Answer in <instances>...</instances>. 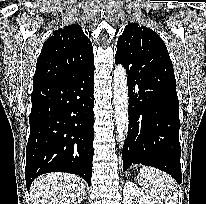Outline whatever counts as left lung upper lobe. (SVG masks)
<instances>
[{"label":"left lung upper lobe","mask_w":206,"mask_h":204,"mask_svg":"<svg viewBox=\"0 0 206 204\" xmlns=\"http://www.w3.org/2000/svg\"><path fill=\"white\" fill-rule=\"evenodd\" d=\"M116 58L124 66H162L174 73L164 41L151 29L129 23L117 42Z\"/></svg>","instance_id":"obj_1"}]
</instances>
